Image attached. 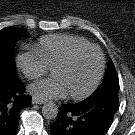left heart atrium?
<instances>
[{
	"label": "left heart atrium",
	"instance_id": "39dd6f15",
	"mask_svg": "<svg viewBox=\"0 0 135 135\" xmlns=\"http://www.w3.org/2000/svg\"><path fill=\"white\" fill-rule=\"evenodd\" d=\"M28 92L40 100L58 99L67 95L68 91L59 77L52 76L40 80L28 87Z\"/></svg>",
	"mask_w": 135,
	"mask_h": 135
}]
</instances>
